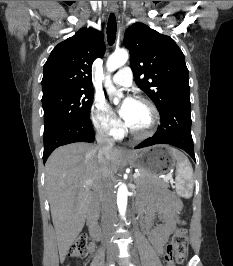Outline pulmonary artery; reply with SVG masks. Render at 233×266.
<instances>
[{
  "label": "pulmonary artery",
  "instance_id": "pulmonary-artery-1",
  "mask_svg": "<svg viewBox=\"0 0 233 266\" xmlns=\"http://www.w3.org/2000/svg\"><path fill=\"white\" fill-rule=\"evenodd\" d=\"M133 74L130 67L125 66L113 75L112 81L119 86H130L132 84Z\"/></svg>",
  "mask_w": 233,
  "mask_h": 266
}]
</instances>
